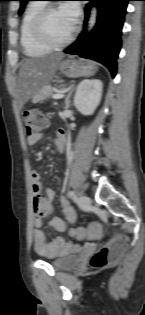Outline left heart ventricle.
Returning a JSON list of instances; mask_svg holds the SVG:
<instances>
[{"label":"left heart ventricle","instance_id":"1","mask_svg":"<svg viewBox=\"0 0 145 315\" xmlns=\"http://www.w3.org/2000/svg\"><path fill=\"white\" fill-rule=\"evenodd\" d=\"M73 27L69 18L61 9L52 11L45 21L46 33L55 42L64 40L71 33Z\"/></svg>","mask_w":145,"mask_h":315}]
</instances>
